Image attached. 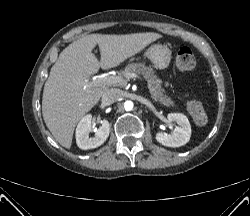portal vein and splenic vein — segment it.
<instances>
[{"label":"portal vein and splenic vein","mask_w":250,"mask_h":216,"mask_svg":"<svg viewBox=\"0 0 250 216\" xmlns=\"http://www.w3.org/2000/svg\"><path fill=\"white\" fill-rule=\"evenodd\" d=\"M127 78H133V79H138L140 81H143V79L135 73L127 74ZM124 82H126V80L119 76L98 77L92 82H89V83L86 82L84 87H87V86L100 87V86H106V85H112V84H121Z\"/></svg>","instance_id":"obj_1"}]
</instances>
